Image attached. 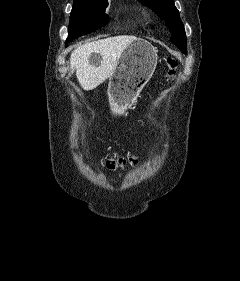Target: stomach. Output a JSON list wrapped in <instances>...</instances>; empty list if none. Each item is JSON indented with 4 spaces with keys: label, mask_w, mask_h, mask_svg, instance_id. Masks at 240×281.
Instances as JSON below:
<instances>
[{
    "label": "stomach",
    "mask_w": 240,
    "mask_h": 281,
    "mask_svg": "<svg viewBox=\"0 0 240 281\" xmlns=\"http://www.w3.org/2000/svg\"><path fill=\"white\" fill-rule=\"evenodd\" d=\"M157 59L155 47L144 39L137 38L125 48L109 79L108 94L112 113H122L135 102L152 77Z\"/></svg>",
    "instance_id": "0dacf381"
}]
</instances>
